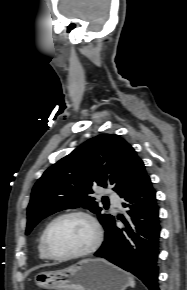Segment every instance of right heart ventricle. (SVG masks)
Segmentation results:
<instances>
[{"label": "right heart ventricle", "mask_w": 187, "mask_h": 290, "mask_svg": "<svg viewBox=\"0 0 187 290\" xmlns=\"http://www.w3.org/2000/svg\"><path fill=\"white\" fill-rule=\"evenodd\" d=\"M42 236L43 234H41L40 238H39V242H38V253H39V257L42 260H50V258L48 257V255L46 254L44 247H43V243H42Z\"/></svg>", "instance_id": "1"}]
</instances>
